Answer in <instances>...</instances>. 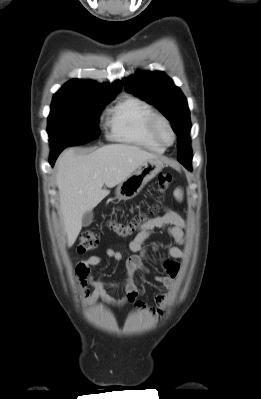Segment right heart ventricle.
Instances as JSON below:
<instances>
[{"instance_id":"obj_1","label":"right heart ventricle","mask_w":261,"mask_h":399,"mask_svg":"<svg viewBox=\"0 0 261 399\" xmlns=\"http://www.w3.org/2000/svg\"><path fill=\"white\" fill-rule=\"evenodd\" d=\"M154 112L152 106L143 99L132 95L124 97L108 111V137L113 141L163 152L165 147L149 131V119Z\"/></svg>"}]
</instances>
